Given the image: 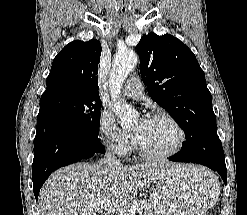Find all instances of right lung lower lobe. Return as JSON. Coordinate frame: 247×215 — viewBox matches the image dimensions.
Segmentation results:
<instances>
[{
    "label": "right lung lower lobe",
    "instance_id": "98d812e1",
    "mask_svg": "<svg viewBox=\"0 0 247 215\" xmlns=\"http://www.w3.org/2000/svg\"><path fill=\"white\" fill-rule=\"evenodd\" d=\"M104 151L98 134H93L83 127L55 119L37 121L32 164L36 200L43 183L53 171L91 159Z\"/></svg>",
    "mask_w": 247,
    "mask_h": 215
}]
</instances>
